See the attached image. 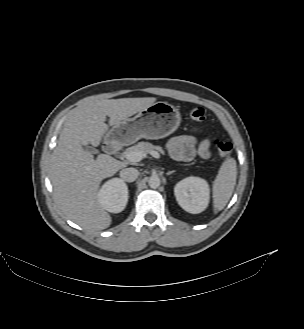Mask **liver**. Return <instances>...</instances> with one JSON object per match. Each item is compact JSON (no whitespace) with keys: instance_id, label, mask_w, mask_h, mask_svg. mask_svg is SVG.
Masks as SVG:
<instances>
[{"instance_id":"1","label":"liver","mask_w":304,"mask_h":329,"mask_svg":"<svg viewBox=\"0 0 304 329\" xmlns=\"http://www.w3.org/2000/svg\"><path fill=\"white\" fill-rule=\"evenodd\" d=\"M156 98H121L90 101L79 107L63 128L50 165L54 197L67 218L87 230L100 231L111 224V216L100 205L98 189L103 179L113 176L125 163L82 146H98L109 125L117 126L154 104Z\"/></svg>"}]
</instances>
